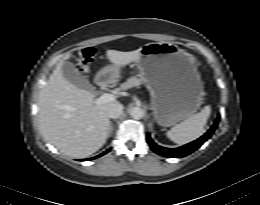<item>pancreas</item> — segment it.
Wrapping results in <instances>:
<instances>
[{
  "mask_svg": "<svg viewBox=\"0 0 260 205\" xmlns=\"http://www.w3.org/2000/svg\"><path fill=\"white\" fill-rule=\"evenodd\" d=\"M141 84V80L136 78V77H132V78H129L127 80V82H125L123 85H122V89L123 90H127L129 88H132V87H137Z\"/></svg>",
  "mask_w": 260,
  "mask_h": 205,
  "instance_id": "cf45deb5",
  "label": "pancreas"
}]
</instances>
